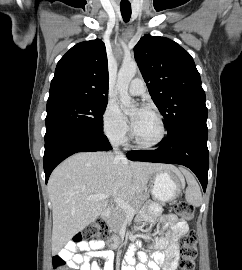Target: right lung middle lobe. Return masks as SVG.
<instances>
[{
  "instance_id": "obj_1",
  "label": "right lung middle lobe",
  "mask_w": 242,
  "mask_h": 270,
  "mask_svg": "<svg viewBox=\"0 0 242 270\" xmlns=\"http://www.w3.org/2000/svg\"><path fill=\"white\" fill-rule=\"evenodd\" d=\"M108 100L63 101L47 105L46 134L64 129H80L92 133H103V113Z\"/></svg>"
}]
</instances>
